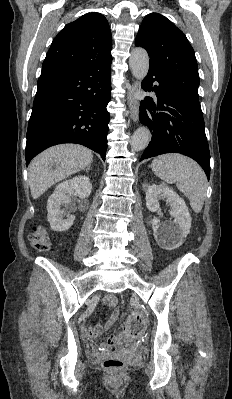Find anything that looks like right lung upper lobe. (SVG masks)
I'll use <instances>...</instances> for the list:
<instances>
[{
  "mask_svg": "<svg viewBox=\"0 0 232 399\" xmlns=\"http://www.w3.org/2000/svg\"><path fill=\"white\" fill-rule=\"evenodd\" d=\"M111 31L106 18L87 13L67 24L54 38L42 68L79 67L112 59Z\"/></svg>",
  "mask_w": 232,
  "mask_h": 399,
  "instance_id": "right-lung-upper-lobe-1",
  "label": "right lung upper lobe"
}]
</instances>
